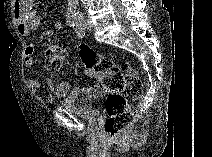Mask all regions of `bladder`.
Listing matches in <instances>:
<instances>
[{"label":"bladder","instance_id":"obj_1","mask_svg":"<svg viewBox=\"0 0 212 157\" xmlns=\"http://www.w3.org/2000/svg\"><path fill=\"white\" fill-rule=\"evenodd\" d=\"M105 99V94L94 87H79L71 90L59 105L88 120L98 117V105Z\"/></svg>","mask_w":212,"mask_h":157}]
</instances>
